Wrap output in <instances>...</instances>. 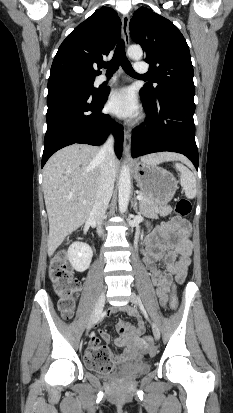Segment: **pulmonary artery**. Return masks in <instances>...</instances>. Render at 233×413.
Here are the masks:
<instances>
[{
	"label": "pulmonary artery",
	"instance_id": "obj_1",
	"mask_svg": "<svg viewBox=\"0 0 233 413\" xmlns=\"http://www.w3.org/2000/svg\"><path fill=\"white\" fill-rule=\"evenodd\" d=\"M135 71L139 74L145 73L147 71L146 67L142 63L135 64ZM118 80V76L113 75L111 77H107L105 75H101L96 79V84H103V83H112Z\"/></svg>",
	"mask_w": 233,
	"mask_h": 413
}]
</instances>
